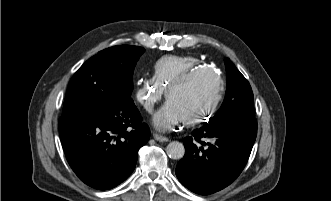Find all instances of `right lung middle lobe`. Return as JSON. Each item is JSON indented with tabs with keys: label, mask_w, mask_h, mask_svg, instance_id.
I'll return each instance as SVG.
<instances>
[{
	"label": "right lung middle lobe",
	"mask_w": 331,
	"mask_h": 201,
	"mask_svg": "<svg viewBox=\"0 0 331 201\" xmlns=\"http://www.w3.org/2000/svg\"><path fill=\"white\" fill-rule=\"evenodd\" d=\"M144 51L138 46H114L86 61L69 83L62 116L130 99L134 68Z\"/></svg>",
	"instance_id": "1"
}]
</instances>
